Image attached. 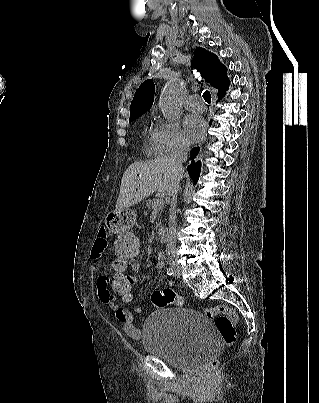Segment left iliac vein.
Returning a JSON list of instances; mask_svg holds the SVG:
<instances>
[{
  "label": "left iliac vein",
  "instance_id": "4c4485c4",
  "mask_svg": "<svg viewBox=\"0 0 319 403\" xmlns=\"http://www.w3.org/2000/svg\"><path fill=\"white\" fill-rule=\"evenodd\" d=\"M174 270H175V277H180V270L178 268H176L175 266H173Z\"/></svg>",
  "mask_w": 319,
  "mask_h": 403
}]
</instances>
